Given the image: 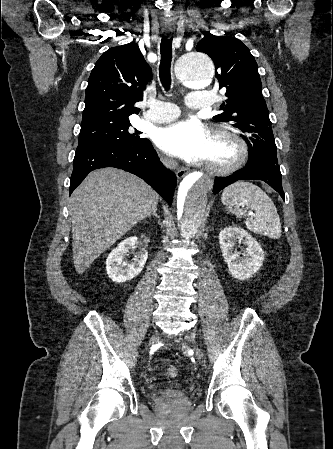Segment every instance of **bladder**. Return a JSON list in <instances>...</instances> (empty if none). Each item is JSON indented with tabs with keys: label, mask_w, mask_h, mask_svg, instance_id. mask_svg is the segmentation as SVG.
Returning <instances> with one entry per match:
<instances>
[{
	"label": "bladder",
	"mask_w": 333,
	"mask_h": 449,
	"mask_svg": "<svg viewBox=\"0 0 333 449\" xmlns=\"http://www.w3.org/2000/svg\"><path fill=\"white\" fill-rule=\"evenodd\" d=\"M184 389L177 384L167 385L162 389H158L154 392L156 396L160 395H174V394H183Z\"/></svg>",
	"instance_id": "obj_1"
}]
</instances>
